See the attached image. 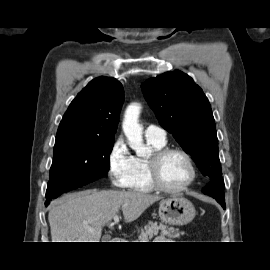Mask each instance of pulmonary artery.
I'll return each mask as SVG.
<instances>
[{
    "mask_svg": "<svg viewBox=\"0 0 270 270\" xmlns=\"http://www.w3.org/2000/svg\"><path fill=\"white\" fill-rule=\"evenodd\" d=\"M145 136L147 139L166 142V131L163 128L155 125H149L145 129Z\"/></svg>",
    "mask_w": 270,
    "mask_h": 270,
    "instance_id": "obj_1",
    "label": "pulmonary artery"
}]
</instances>
